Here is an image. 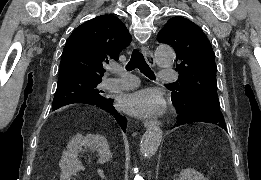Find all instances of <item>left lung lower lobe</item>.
<instances>
[{
    "label": "left lung lower lobe",
    "mask_w": 261,
    "mask_h": 180,
    "mask_svg": "<svg viewBox=\"0 0 261 180\" xmlns=\"http://www.w3.org/2000/svg\"><path fill=\"white\" fill-rule=\"evenodd\" d=\"M178 117L174 127H179L184 124L193 122H205L215 124L223 129H226V124L219 105L210 102L201 101L194 95L181 102L172 101Z\"/></svg>",
    "instance_id": "0a47b994"
}]
</instances>
